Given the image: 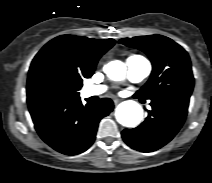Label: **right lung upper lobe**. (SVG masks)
<instances>
[{
    "mask_svg": "<svg viewBox=\"0 0 212 183\" xmlns=\"http://www.w3.org/2000/svg\"><path fill=\"white\" fill-rule=\"evenodd\" d=\"M114 43L113 39L97 40L73 35H61L49 41L31 63L27 82L28 104L45 98L35 88L36 78L45 68H59L82 81L92 76L97 61Z\"/></svg>",
    "mask_w": 212,
    "mask_h": 183,
    "instance_id": "1",
    "label": "right lung upper lobe"
}]
</instances>
